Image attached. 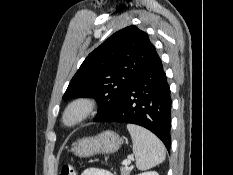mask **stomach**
I'll list each match as a JSON object with an SVG mask.
<instances>
[{
  "mask_svg": "<svg viewBox=\"0 0 233 175\" xmlns=\"http://www.w3.org/2000/svg\"><path fill=\"white\" fill-rule=\"evenodd\" d=\"M122 139L113 131H104L95 137H86L78 140L72 151L79 157H90L95 154H111L118 151Z\"/></svg>",
  "mask_w": 233,
  "mask_h": 175,
  "instance_id": "0dacf381",
  "label": "stomach"
}]
</instances>
